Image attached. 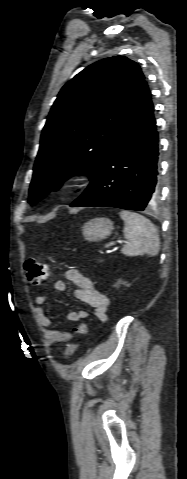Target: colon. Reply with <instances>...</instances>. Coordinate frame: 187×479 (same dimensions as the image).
I'll return each instance as SVG.
<instances>
[{"instance_id":"5ec220e1","label":"colon","mask_w":187,"mask_h":479,"mask_svg":"<svg viewBox=\"0 0 187 479\" xmlns=\"http://www.w3.org/2000/svg\"><path fill=\"white\" fill-rule=\"evenodd\" d=\"M24 269L26 272L27 280L32 285L41 284L49 275V267L46 263L30 257L24 262ZM75 339L67 346L64 356L66 358L71 357L76 353L80 344L88 336V325L86 323H80L74 330Z\"/></svg>"}]
</instances>
